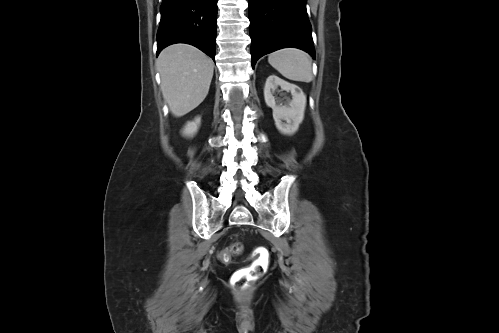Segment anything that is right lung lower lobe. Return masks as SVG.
Here are the masks:
<instances>
[{
    "instance_id": "1",
    "label": "right lung lower lobe",
    "mask_w": 499,
    "mask_h": 333,
    "mask_svg": "<svg viewBox=\"0 0 499 333\" xmlns=\"http://www.w3.org/2000/svg\"><path fill=\"white\" fill-rule=\"evenodd\" d=\"M157 55L166 46L188 43L215 61L217 0H163Z\"/></svg>"
}]
</instances>
